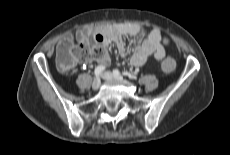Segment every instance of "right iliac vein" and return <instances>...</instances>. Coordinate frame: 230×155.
Listing matches in <instances>:
<instances>
[{"label":"right iliac vein","mask_w":230,"mask_h":155,"mask_svg":"<svg viewBox=\"0 0 230 155\" xmlns=\"http://www.w3.org/2000/svg\"><path fill=\"white\" fill-rule=\"evenodd\" d=\"M101 85V80L99 77L95 78V80L92 83V89L93 90H98Z\"/></svg>","instance_id":"right-iliac-vein-1"}]
</instances>
